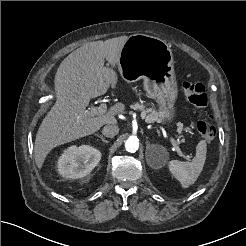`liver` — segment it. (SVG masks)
Here are the masks:
<instances>
[{
  "instance_id": "liver-1",
  "label": "liver",
  "mask_w": 246,
  "mask_h": 246,
  "mask_svg": "<svg viewBox=\"0 0 246 246\" xmlns=\"http://www.w3.org/2000/svg\"><path fill=\"white\" fill-rule=\"evenodd\" d=\"M127 36L87 43L70 53L55 75L56 103L43 119L34 144V157L41 168L49 152L62 144L98 131L103 125H115V115L125 105L116 103L104 115H93L86 108L91 98L116 87L121 49ZM105 59L111 65L104 66Z\"/></svg>"
}]
</instances>
